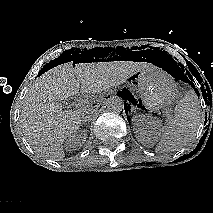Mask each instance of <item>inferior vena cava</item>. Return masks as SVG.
Here are the masks:
<instances>
[{"mask_svg":"<svg viewBox=\"0 0 213 213\" xmlns=\"http://www.w3.org/2000/svg\"><path fill=\"white\" fill-rule=\"evenodd\" d=\"M95 115H96V109L92 105L88 104L84 106L82 118L85 121L91 120L93 117H95Z\"/></svg>","mask_w":213,"mask_h":213,"instance_id":"obj_1","label":"inferior vena cava"}]
</instances>
